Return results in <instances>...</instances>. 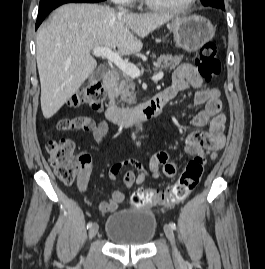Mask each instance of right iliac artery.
<instances>
[{
	"label": "right iliac artery",
	"instance_id": "obj_1",
	"mask_svg": "<svg viewBox=\"0 0 265 269\" xmlns=\"http://www.w3.org/2000/svg\"><path fill=\"white\" fill-rule=\"evenodd\" d=\"M91 226H92V222H89V223L87 224V229H88V228H91Z\"/></svg>",
	"mask_w": 265,
	"mask_h": 269
}]
</instances>
